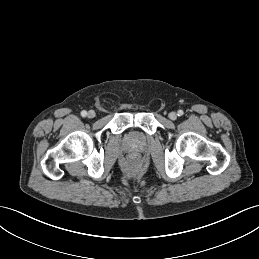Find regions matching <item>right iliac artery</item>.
<instances>
[{"label": "right iliac artery", "mask_w": 259, "mask_h": 259, "mask_svg": "<svg viewBox=\"0 0 259 259\" xmlns=\"http://www.w3.org/2000/svg\"><path fill=\"white\" fill-rule=\"evenodd\" d=\"M81 116H82V117H86V116H87V112H86L85 110H83V111L81 112Z\"/></svg>", "instance_id": "obj_1"}]
</instances>
